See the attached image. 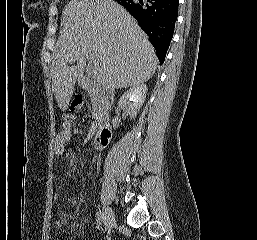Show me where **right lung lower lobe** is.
Wrapping results in <instances>:
<instances>
[{"instance_id":"obj_1","label":"right lung lower lobe","mask_w":257,"mask_h":240,"mask_svg":"<svg viewBox=\"0 0 257 240\" xmlns=\"http://www.w3.org/2000/svg\"><path fill=\"white\" fill-rule=\"evenodd\" d=\"M138 21L162 64L174 33L179 0H115Z\"/></svg>"}]
</instances>
